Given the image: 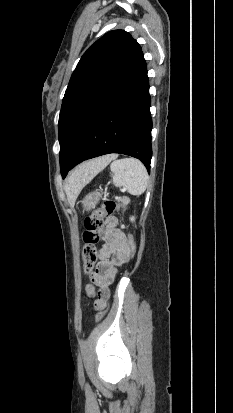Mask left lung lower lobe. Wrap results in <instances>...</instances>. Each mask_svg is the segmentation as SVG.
<instances>
[{
    "mask_svg": "<svg viewBox=\"0 0 233 413\" xmlns=\"http://www.w3.org/2000/svg\"><path fill=\"white\" fill-rule=\"evenodd\" d=\"M149 81L142 51L130 70L90 122L68 171L80 162L109 153H122L143 162L148 172L152 157Z\"/></svg>",
    "mask_w": 233,
    "mask_h": 413,
    "instance_id": "left-lung-lower-lobe-1",
    "label": "left lung lower lobe"
}]
</instances>
